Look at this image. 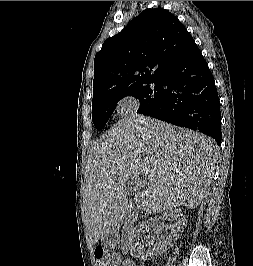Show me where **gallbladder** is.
<instances>
[{
	"instance_id": "obj_1",
	"label": "gallbladder",
	"mask_w": 253,
	"mask_h": 266,
	"mask_svg": "<svg viewBox=\"0 0 253 266\" xmlns=\"http://www.w3.org/2000/svg\"><path fill=\"white\" fill-rule=\"evenodd\" d=\"M131 188L129 187V184L127 185V192H130Z\"/></svg>"
}]
</instances>
